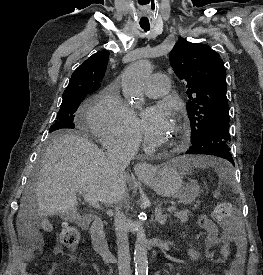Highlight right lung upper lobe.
<instances>
[{
	"label": "right lung upper lobe",
	"instance_id": "right-lung-upper-lobe-1",
	"mask_svg": "<svg viewBox=\"0 0 263 275\" xmlns=\"http://www.w3.org/2000/svg\"><path fill=\"white\" fill-rule=\"evenodd\" d=\"M109 51L102 50L84 61L72 74L63 95L74 92L92 93L100 87L108 63Z\"/></svg>",
	"mask_w": 263,
	"mask_h": 275
}]
</instances>
